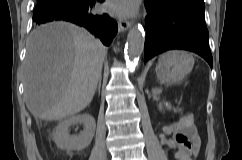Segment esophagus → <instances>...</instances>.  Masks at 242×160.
<instances>
[{
    "label": "esophagus",
    "mask_w": 242,
    "mask_h": 160,
    "mask_svg": "<svg viewBox=\"0 0 242 160\" xmlns=\"http://www.w3.org/2000/svg\"><path fill=\"white\" fill-rule=\"evenodd\" d=\"M118 26H119L120 31H125L132 26V22H130L126 19H119L118 20Z\"/></svg>",
    "instance_id": "obj_1"
}]
</instances>
